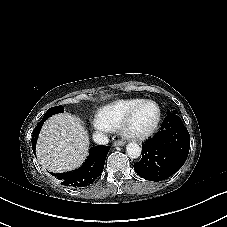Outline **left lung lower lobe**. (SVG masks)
I'll return each instance as SVG.
<instances>
[{
  "label": "left lung lower lobe",
  "mask_w": 227,
  "mask_h": 227,
  "mask_svg": "<svg viewBox=\"0 0 227 227\" xmlns=\"http://www.w3.org/2000/svg\"><path fill=\"white\" fill-rule=\"evenodd\" d=\"M160 129L142 144V158L134 164L135 172L150 181H162L176 173L190 148V135L179 116L167 114Z\"/></svg>",
  "instance_id": "0a47b994"
}]
</instances>
